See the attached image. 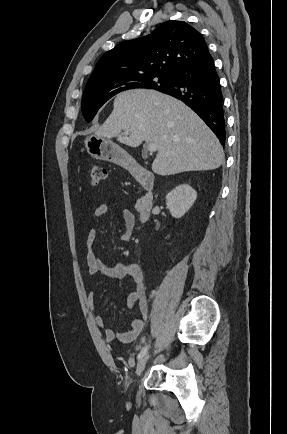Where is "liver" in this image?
I'll return each mask as SVG.
<instances>
[{
	"label": "liver",
	"instance_id": "1",
	"mask_svg": "<svg viewBox=\"0 0 287 434\" xmlns=\"http://www.w3.org/2000/svg\"><path fill=\"white\" fill-rule=\"evenodd\" d=\"M95 134L116 137L130 147L143 141L156 144L152 170L162 176L214 170L224 161L219 140L200 117L183 102L154 90L118 94L112 113Z\"/></svg>",
	"mask_w": 287,
	"mask_h": 434
}]
</instances>
